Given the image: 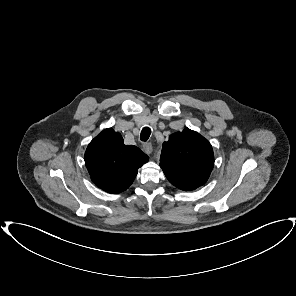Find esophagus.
<instances>
[{"label": "esophagus", "mask_w": 296, "mask_h": 296, "mask_svg": "<svg viewBox=\"0 0 296 296\" xmlns=\"http://www.w3.org/2000/svg\"><path fill=\"white\" fill-rule=\"evenodd\" d=\"M142 149L146 154H150L152 152V144L151 143H144L142 146Z\"/></svg>", "instance_id": "esophagus-1"}]
</instances>
